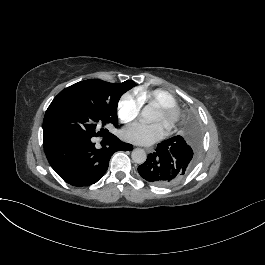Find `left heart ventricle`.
<instances>
[{"instance_id": "left-heart-ventricle-1", "label": "left heart ventricle", "mask_w": 265, "mask_h": 265, "mask_svg": "<svg viewBox=\"0 0 265 265\" xmlns=\"http://www.w3.org/2000/svg\"><path fill=\"white\" fill-rule=\"evenodd\" d=\"M154 122H162V123H164L163 115L158 110H156V115H155Z\"/></svg>"}]
</instances>
